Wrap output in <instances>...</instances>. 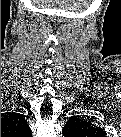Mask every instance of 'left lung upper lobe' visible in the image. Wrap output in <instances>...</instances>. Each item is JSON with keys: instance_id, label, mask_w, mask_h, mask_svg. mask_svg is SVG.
<instances>
[{"instance_id": "obj_1", "label": "left lung upper lobe", "mask_w": 121, "mask_h": 137, "mask_svg": "<svg viewBox=\"0 0 121 137\" xmlns=\"http://www.w3.org/2000/svg\"><path fill=\"white\" fill-rule=\"evenodd\" d=\"M63 132H68L69 134L81 132L104 134L100 128L94 126L92 123L82 119L79 116L70 118L64 126Z\"/></svg>"}]
</instances>
